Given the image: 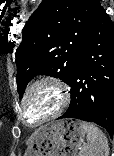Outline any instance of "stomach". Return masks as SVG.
Instances as JSON below:
<instances>
[{
  "instance_id": "stomach-1",
  "label": "stomach",
  "mask_w": 114,
  "mask_h": 156,
  "mask_svg": "<svg viewBox=\"0 0 114 156\" xmlns=\"http://www.w3.org/2000/svg\"><path fill=\"white\" fill-rule=\"evenodd\" d=\"M80 122L64 119L39 128L30 138L24 156H80L85 136Z\"/></svg>"
}]
</instances>
